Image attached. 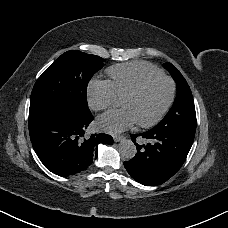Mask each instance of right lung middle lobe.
Listing matches in <instances>:
<instances>
[{
    "label": "right lung middle lobe",
    "mask_w": 228,
    "mask_h": 228,
    "mask_svg": "<svg viewBox=\"0 0 228 228\" xmlns=\"http://www.w3.org/2000/svg\"><path fill=\"white\" fill-rule=\"evenodd\" d=\"M103 62L99 56L77 50L62 54L36 81L29 114L57 112L73 119L92 116L86 98L87 85Z\"/></svg>",
    "instance_id": "dd1d6c3e"
}]
</instances>
